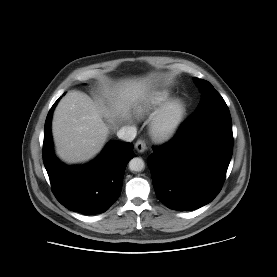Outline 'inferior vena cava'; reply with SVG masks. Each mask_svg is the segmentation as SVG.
Wrapping results in <instances>:
<instances>
[{
  "label": "inferior vena cava",
  "instance_id": "602c4592",
  "mask_svg": "<svg viewBox=\"0 0 277 277\" xmlns=\"http://www.w3.org/2000/svg\"><path fill=\"white\" fill-rule=\"evenodd\" d=\"M136 134L137 129L134 126H124L117 132L118 138L127 142L133 141L136 137Z\"/></svg>",
  "mask_w": 277,
  "mask_h": 277
}]
</instances>
